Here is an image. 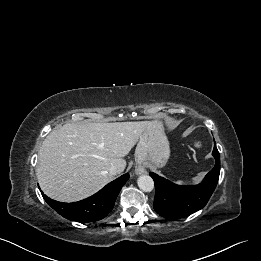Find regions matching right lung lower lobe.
Segmentation results:
<instances>
[{
    "label": "right lung lower lobe",
    "instance_id": "98d812e1",
    "mask_svg": "<svg viewBox=\"0 0 261 261\" xmlns=\"http://www.w3.org/2000/svg\"><path fill=\"white\" fill-rule=\"evenodd\" d=\"M129 178L126 173L112 181L96 194L74 203H63L50 199L42 193L45 201L61 216L82 223L98 221L113 209L115 200Z\"/></svg>",
    "mask_w": 261,
    "mask_h": 261
}]
</instances>
